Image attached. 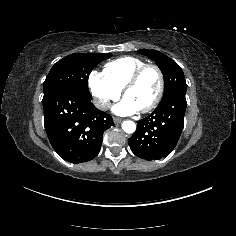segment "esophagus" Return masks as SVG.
I'll use <instances>...</instances> for the list:
<instances>
[{
  "mask_svg": "<svg viewBox=\"0 0 236 236\" xmlns=\"http://www.w3.org/2000/svg\"><path fill=\"white\" fill-rule=\"evenodd\" d=\"M113 121L118 124V123H121L122 119L121 118H118V117H114L113 118Z\"/></svg>",
  "mask_w": 236,
  "mask_h": 236,
  "instance_id": "34e87169",
  "label": "esophagus"
}]
</instances>
